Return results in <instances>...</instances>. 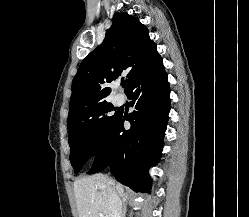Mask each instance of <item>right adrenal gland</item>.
Masks as SVG:
<instances>
[{
  "label": "right adrenal gland",
  "mask_w": 249,
  "mask_h": 217,
  "mask_svg": "<svg viewBox=\"0 0 249 217\" xmlns=\"http://www.w3.org/2000/svg\"><path fill=\"white\" fill-rule=\"evenodd\" d=\"M122 203H123L122 217H125L127 211V204H128L127 198H124Z\"/></svg>",
  "instance_id": "2a0ac1e0"
}]
</instances>
